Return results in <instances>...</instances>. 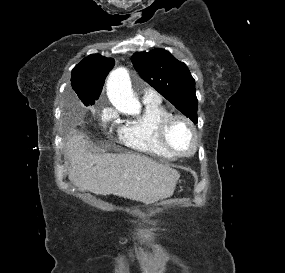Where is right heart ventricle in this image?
I'll use <instances>...</instances> for the list:
<instances>
[{"instance_id":"1","label":"right heart ventricle","mask_w":285,"mask_h":273,"mask_svg":"<svg viewBox=\"0 0 285 273\" xmlns=\"http://www.w3.org/2000/svg\"><path fill=\"white\" fill-rule=\"evenodd\" d=\"M143 113L122 124L118 129L121 142L136 151L173 158L176 155L161 142L159 128L162 121L171 115L161 101L144 102Z\"/></svg>"}]
</instances>
